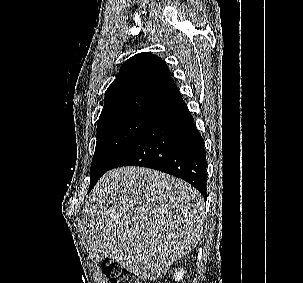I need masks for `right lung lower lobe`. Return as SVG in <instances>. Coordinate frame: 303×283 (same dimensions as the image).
Instances as JSON below:
<instances>
[{
  "label": "right lung lower lobe",
  "instance_id": "right-lung-lower-lobe-1",
  "mask_svg": "<svg viewBox=\"0 0 303 283\" xmlns=\"http://www.w3.org/2000/svg\"><path fill=\"white\" fill-rule=\"evenodd\" d=\"M121 166L171 174L190 183L206 199L204 140L183 100L156 116L110 169Z\"/></svg>",
  "mask_w": 303,
  "mask_h": 283
}]
</instances>
